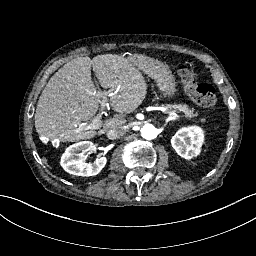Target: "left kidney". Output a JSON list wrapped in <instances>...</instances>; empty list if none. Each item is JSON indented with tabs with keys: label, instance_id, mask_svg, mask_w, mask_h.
<instances>
[{
	"label": "left kidney",
	"instance_id": "1",
	"mask_svg": "<svg viewBox=\"0 0 256 256\" xmlns=\"http://www.w3.org/2000/svg\"><path fill=\"white\" fill-rule=\"evenodd\" d=\"M203 143L204 131L196 125L180 128L171 138V145L176 153L187 160L200 154Z\"/></svg>",
	"mask_w": 256,
	"mask_h": 256
}]
</instances>
